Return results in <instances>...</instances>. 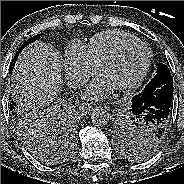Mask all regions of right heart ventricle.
Masks as SVG:
<instances>
[{"label":"right heart ventricle","mask_w":184,"mask_h":184,"mask_svg":"<svg viewBox=\"0 0 184 184\" xmlns=\"http://www.w3.org/2000/svg\"><path fill=\"white\" fill-rule=\"evenodd\" d=\"M137 39L119 30H109L95 35L87 44L88 52L97 65L122 44Z\"/></svg>","instance_id":"right-heart-ventricle-1"}]
</instances>
